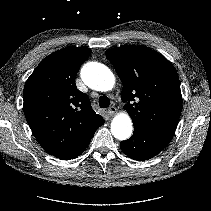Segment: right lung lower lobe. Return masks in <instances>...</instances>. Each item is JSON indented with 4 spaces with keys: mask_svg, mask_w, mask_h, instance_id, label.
<instances>
[{
    "mask_svg": "<svg viewBox=\"0 0 211 211\" xmlns=\"http://www.w3.org/2000/svg\"><path fill=\"white\" fill-rule=\"evenodd\" d=\"M92 137H93V136H92ZM92 137H91V138H92ZM91 138H90L88 141L82 143L78 148H76V149L73 150L72 152H70V153H68V154H66V155H64V156H62V157H60V159H62V160H70V159H73V158H76L77 156H79V155H80L81 153H83L84 150L88 147Z\"/></svg>",
    "mask_w": 211,
    "mask_h": 211,
    "instance_id": "1",
    "label": "right lung lower lobe"
}]
</instances>
